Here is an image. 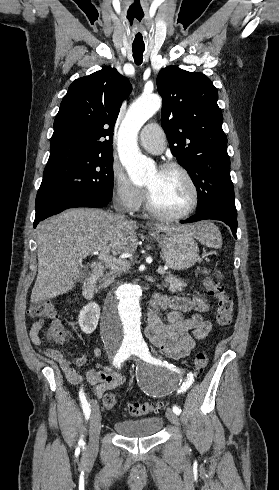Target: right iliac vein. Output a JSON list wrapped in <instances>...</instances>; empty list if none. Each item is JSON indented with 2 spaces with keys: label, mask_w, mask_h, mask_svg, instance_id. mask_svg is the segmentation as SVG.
Here are the masks:
<instances>
[{
  "label": "right iliac vein",
  "mask_w": 279,
  "mask_h": 490,
  "mask_svg": "<svg viewBox=\"0 0 279 490\" xmlns=\"http://www.w3.org/2000/svg\"><path fill=\"white\" fill-rule=\"evenodd\" d=\"M91 403V416L89 427V442L87 447V458L93 457L98 451V437L101 431V413L96 400L92 399Z\"/></svg>",
  "instance_id": "right-iliac-vein-1"
}]
</instances>
